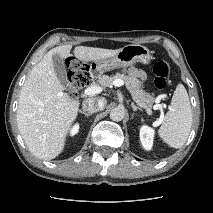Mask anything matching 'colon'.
Instances as JSON below:
<instances>
[{
  "mask_svg": "<svg viewBox=\"0 0 213 213\" xmlns=\"http://www.w3.org/2000/svg\"><path fill=\"white\" fill-rule=\"evenodd\" d=\"M169 68L164 61H157L153 66L154 85L157 89H163L167 84ZM90 75L83 63L72 61L69 64L68 88L71 94L77 95L79 91L88 85Z\"/></svg>",
  "mask_w": 213,
  "mask_h": 213,
  "instance_id": "colon-1",
  "label": "colon"
}]
</instances>
